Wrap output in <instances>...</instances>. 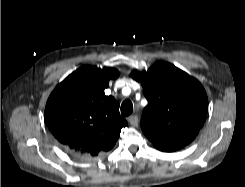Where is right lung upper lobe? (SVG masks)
I'll return each mask as SVG.
<instances>
[{
	"label": "right lung upper lobe",
	"mask_w": 245,
	"mask_h": 187,
	"mask_svg": "<svg viewBox=\"0 0 245 187\" xmlns=\"http://www.w3.org/2000/svg\"><path fill=\"white\" fill-rule=\"evenodd\" d=\"M114 68L83 66L65 78L49 96L45 118L54 137L67 149L88 158L110 151L127 121L112 96L104 94Z\"/></svg>",
	"instance_id": "obj_1"
}]
</instances>
